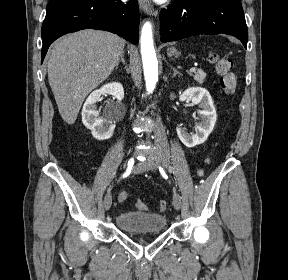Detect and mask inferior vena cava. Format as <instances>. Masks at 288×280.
Masks as SVG:
<instances>
[{
    "mask_svg": "<svg viewBox=\"0 0 288 280\" xmlns=\"http://www.w3.org/2000/svg\"><path fill=\"white\" fill-rule=\"evenodd\" d=\"M155 110H159L160 106L155 105ZM152 137L154 139V143H157V147L159 150L156 152V157L158 159H167L169 157V147L170 142H167V134L164 132V125H162V119L159 116V113H154V119L152 121Z\"/></svg>",
    "mask_w": 288,
    "mask_h": 280,
    "instance_id": "obj_1",
    "label": "inferior vena cava"
}]
</instances>
